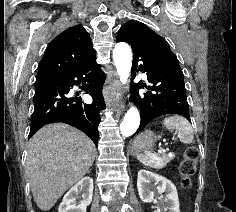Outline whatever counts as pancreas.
Instances as JSON below:
<instances>
[{
  "label": "pancreas",
  "mask_w": 236,
  "mask_h": 212,
  "mask_svg": "<svg viewBox=\"0 0 236 212\" xmlns=\"http://www.w3.org/2000/svg\"><path fill=\"white\" fill-rule=\"evenodd\" d=\"M175 156L174 155H167V154H164L162 155L161 157V160L163 162V165H166L168 162H170Z\"/></svg>",
  "instance_id": "1"
}]
</instances>
